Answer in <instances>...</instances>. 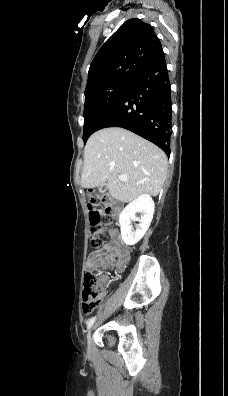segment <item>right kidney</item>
Wrapping results in <instances>:
<instances>
[{"instance_id":"obj_1","label":"right kidney","mask_w":228,"mask_h":396,"mask_svg":"<svg viewBox=\"0 0 228 396\" xmlns=\"http://www.w3.org/2000/svg\"><path fill=\"white\" fill-rule=\"evenodd\" d=\"M154 209V201L148 194L140 195L123 209L119 223L121 237L126 245H135L145 235L153 219ZM136 213H141V217L137 218ZM132 221H139L135 231L132 230Z\"/></svg>"}]
</instances>
